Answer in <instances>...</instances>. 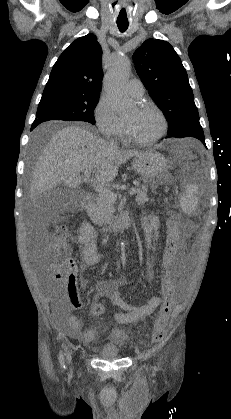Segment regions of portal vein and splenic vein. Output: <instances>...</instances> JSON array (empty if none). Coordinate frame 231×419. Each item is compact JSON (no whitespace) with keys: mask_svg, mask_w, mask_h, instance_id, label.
Wrapping results in <instances>:
<instances>
[{"mask_svg":"<svg viewBox=\"0 0 231 419\" xmlns=\"http://www.w3.org/2000/svg\"><path fill=\"white\" fill-rule=\"evenodd\" d=\"M91 173H92V170H90V169H86V170L84 171V176H85V178H86L87 180H89V179H90ZM91 184H92L93 188L95 189V191H96V192H97L100 196H102V197H104V198H106V199H108V200H111V201H115V200L117 199V194H115L114 192H112V191H110V190H108V189L104 188L102 185L97 184V183H95V182H91ZM137 192H138V189H137V188H131V189L129 190V194H130V195H134V194H136Z\"/></svg>","mask_w":231,"mask_h":419,"instance_id":"18ae733b","label":"portal vein and splenic vein"}]
</instances>
